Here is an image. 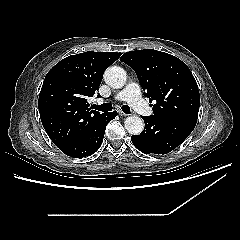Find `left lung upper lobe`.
<instances>
[{"label":"left lung upper lobe","instance_id":"obj_1","mask_svg":"<svg viewBox=\"0 0 240 240\" xmlns=\"http://www.w3.org/2000/svg\"><path fill=\"white\" fill-rule=\"evenodd\" d=\"M137 74L149 101H154L155 118L198 117L200 95L197 83L185 63L168 53L144 49L122 55Z\"/></svg>","mask_w":240,"mask_h":240}]
</instances>
